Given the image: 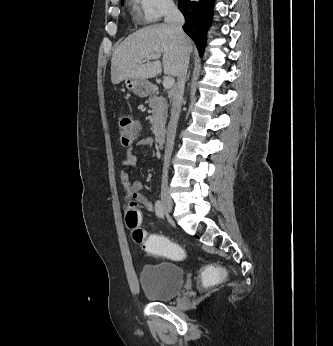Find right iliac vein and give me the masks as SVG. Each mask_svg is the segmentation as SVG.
Here are the masks:
<instances>
[{"label":"right iliac vein","instance_id":"63e3f726","mask_svg":"<svg viewBox=\"0 0 333 346\" xmlns=\"http://www.w3.org/2000/svg\"><path fill=\"white\" fill-rule=\"evenodd\" d=\"M161 202L164 212L169 214L172 211L173 202L169 195L168 186L166 184H163L161 187Z\"/></svg>","mask_w":333,"mask_h":346}]
</instances>
